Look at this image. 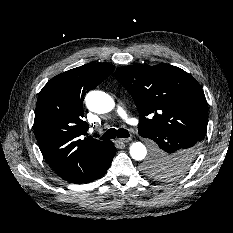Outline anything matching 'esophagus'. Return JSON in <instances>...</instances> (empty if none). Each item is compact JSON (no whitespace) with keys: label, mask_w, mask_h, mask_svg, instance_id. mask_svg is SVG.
Returning <instances> with one entry per match:
<instances>
[{"label":"esophagus","mask_w":233,"mask_h":233,"mask_svg":"<svg viewBox=\"0 0 233 233\" xmlns=\"http://www.w3.org/2000/svg\"><path fill=\"white\" fill-rule=\"evenodd\" d=\"M129 141H131V138H119V139L116 140V143L124 144V143H127Z\"/></svg>","instance_id":"34e87169"}]
</instances>
